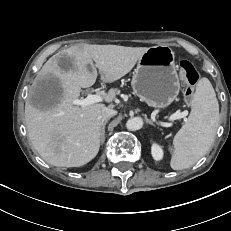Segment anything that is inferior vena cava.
Listing matches in <instances>:
<instances>
[{"label":"inferior vena cava","mask_w":231,"mask_h":231,"mask_svg":"<svg viewBox=\"0 0 231 231\" xmlns=\"http://www.w3.org/2000/svg\"><path fill=\"white\" fill-rule=\"evenodd\" d=\"M116 113L117 112L115 110L108 108V107H104L102 109V113H101V120L102 121L108 120L111 117H113L114 115H116Z\"/></svg>","instance_id":"1"}]
</instances>
